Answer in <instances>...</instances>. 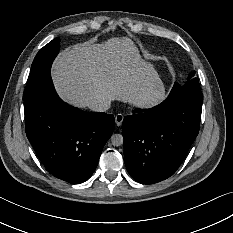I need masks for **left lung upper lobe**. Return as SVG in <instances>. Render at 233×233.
<instances>
[{
  "label": "left lung upper lobe",
  "instance_id": "obj_1",
  "mask_svg": "<svg viewBox=\"0 0 233 233\" xmlns=\"http://www.w3.org/2000/svg\"><path fill=\"white\" fill-rule=\"evenodd\" d=\"M195 71L190 73L187 81L183 85L175 84L173 88L178 90H187L194 92H201L200 85L197 78H194Z\"/></svg>",
  "mask_w": 233,
  "mask_h": 233
}]
</instances>
